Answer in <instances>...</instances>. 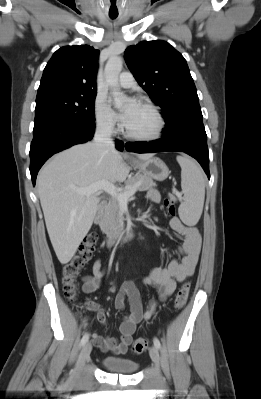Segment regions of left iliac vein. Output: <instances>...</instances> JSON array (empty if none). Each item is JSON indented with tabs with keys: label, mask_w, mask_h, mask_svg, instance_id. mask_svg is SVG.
<instances>
[{
	"label": "left iliac vein",
	"mask_w": 261,
	"mask_h": 399,
	"mask_svg": "<svg viewBox=\"0 0 261 399\" xmlns=\"http://www.w3.org/2000/svg\"><path fill=\"white\" fill-rule=\"evenodd\" d=\"M149 353H150V357H151L155 367L158 369L159 364H160V356H159L158 349L155 346H152L149 349Z\"/></svg>",
	"instance_id": "4c4485c4"
}]
</instances>
